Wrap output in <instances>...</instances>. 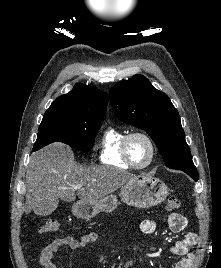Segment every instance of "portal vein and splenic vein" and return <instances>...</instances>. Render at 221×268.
<instances>
[{
    "mask_svg": "<svg viewBox=\"0 0 221 268\" xmlns=\"http://www.w3.org/2000/svg\"><path fill=\"white\" fill-rule=\"evenodd\" d=\"M81 187H82L81 184L73 185V188H74V189H79V188H81Z\"/></svg>",
    "mask_w": 221,
    "mask_h": 268,
    "instance_id": "portal-vein-and-splenic-vein-1",
    "label": "portal vein and splenic vein"
}]
</instances>
